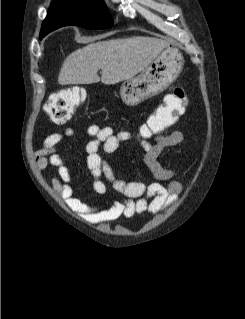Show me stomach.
<instances>
[{
    "instance_id": "0dacf381",
    "label": "stomach",
    "mask_w": 245,
    "mask_h": 319,
    "mask_svg": "<svg viewBox=\"0 0 245 319\" xmlns=\"http://www.w3.org/2000/svg\"><path fill=\"white\" fill-rule=\"evenodd\" d=\"M183 66L182 53L167 46L139 75L122 83V101L128 106H136L162 93L179 77Z\"/></svg>"
}]
</instances>
